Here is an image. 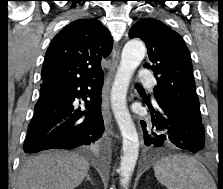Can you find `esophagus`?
<instances>
[{
	"mask_svg": "<svg viewBox=\"0 0 223 189\" xmlns=\"http://www.w3.org/2000/svg\"><path fill=\"white\" fill-rule=\"evenodd\" d=\"M120 60V49L118 45L114 48L113 53H112V60H111V66L108 70L107 77H106V95L103 101V116L104 119L108 124H111L112 121V115L110 112V107H109V91H110V85L112 83L114 74L116 72V69L118 67Z\"/></svg>",
	"mask_w": 223,
	"mask_h": 189,
	"instance_id": "1",
	"label": "esophagus"
}]
</instances>
